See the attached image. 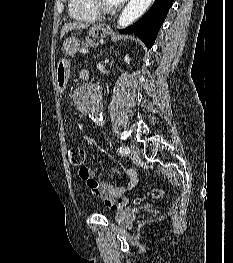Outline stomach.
Masks as SVG:
<instances>
[{
  "label": "stomach",
  "instance_id": "obj_1",
  "mask_svg": "<svg viewBox=\"0 0 233 263\" xmlns=\"http://www.w3.org/2000/svg\"><path fill=\"white\" fill-rule=\"evenodd\" d=\"M88 34L93 38H104L108 35L105 24H96L91 27ZM80 46V41L76 37H69L63 42V51L66 55H74ZM70 75V62L67 59H60L57 63L56 81L59 90L63 91L66 87Z\"/></svg>",
  "mask_w": 233,
  "mask_h": 263
}]
</instances>
